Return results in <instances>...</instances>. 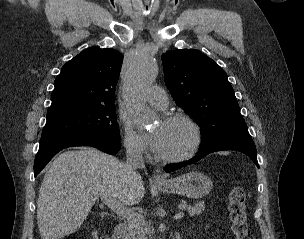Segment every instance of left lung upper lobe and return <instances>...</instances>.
I'll return each mask as SVG.
<instances>
[{
  "label": "left lung upper lobe",
  "instance_id": "5c2ea615",
  "mask_svg": "<svg viewBox=\"0 0 304 239\" xmlns=\"http://www.w3.org/2000/svg\"><path fill=\"white\" fill-rule=\"evenodd\" d=\"M165 82L175 102L200 125L203 147L252 140L227 75L198 50L162 55Z\"/></svg>",
  "mask_w": 304,
  "mask_h": 239
}]
</instances>
